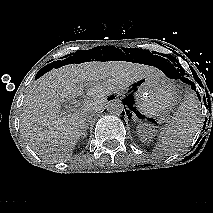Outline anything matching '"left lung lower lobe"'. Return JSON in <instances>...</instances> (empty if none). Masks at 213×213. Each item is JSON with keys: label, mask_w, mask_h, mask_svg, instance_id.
Returning a JSON list of instances; mask_svg holds the SVG:
<instances>
[{"label": "left lung lower lobe", "mask_w": 213, "mask_h": 213, "mask_svg": "<svg viewBox=\"0 0 213 213\" xmlns=\"http://www.w3.org/2000/svg\"><path fill=\"white\" fill-rule=\"evenodd\" d=\"M190 85H191V88H192L193 90L196 91V87H195L194 83H191ZM197 95H198V93H197ZM198 98L200 99V96H199V95H198ZM122 101H123V104L126 103V99H124V100H122ZM122 114H123V112H122Z\"/></svg>", "instance_id": "left-lung-lower-lobe-1"}]
</instances>
